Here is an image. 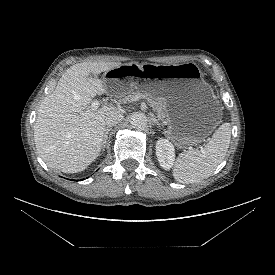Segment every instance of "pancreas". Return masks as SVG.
<instances>
[{"instance_id":"obj_1","label":"pancreas","mask_w":275,"mask_h":275,"mask_svg":"<svg viewBox=\"0 0 275 275\" xmlns=\"http://www.w3.org/2000/svg\"><path fill=\"white\" fill-rule=\"evenodd\" d=\"M137 99H147L149 105L153 108V111L156 113L159 120L162 122L167 121V114H166V102L162 98L154 99L149 98L147 95L140 93V92H131L128 96L123 98L125 102H132Z\"/></svg>"}]
</instances>
